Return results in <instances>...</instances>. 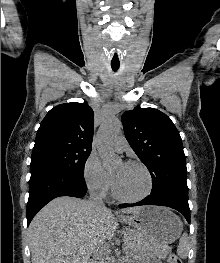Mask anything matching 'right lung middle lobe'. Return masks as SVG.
Segmentation results:
<instances>
[{
  "instance_id": "right-lung-middle-lobe-1",
  "label": "right lung middle lobe",
  "mask_w": 220,
  "mask_h": 263,
  "mask_svg": "<svg viewBox=\"0 0 220 263\" xmlns=\"http://www.w3.org/2000/svg\"><path fill=\"white\" fill-rule=\"evenodd\" d=\"M90 153L91 149L83 148L44 149L32 153L30 167H48L83 177L84 165Z\"/></svg>"
}]
</instances>
